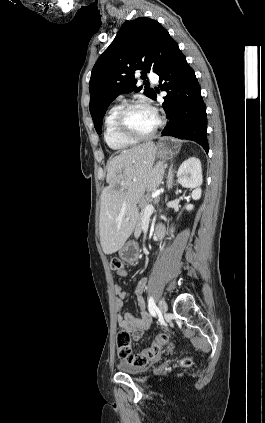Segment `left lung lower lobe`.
Returning a JSON list of instances; mask_svg holds the SVG:
<instances>
[{
  "instance_id": "left-lung-lower-lobe-1",
  "label": "left lung lower lobe",
  "mask_w": 265,
  "mask_h": 423,
  "mask_svg": "<svg viewBox=\"0 0 265 423\" xmlns=\"http://www.w3.org/2000/svg\"><path fill=\"white\" fill-rule=\"evenodd\" d=\"M161 90L167 91L164 109L169 120L162 136L193 140L208 152L206 107L193 69L171 38L156 72ZM153 99H156V94Z\"/></svg>"
}]
</instances>
